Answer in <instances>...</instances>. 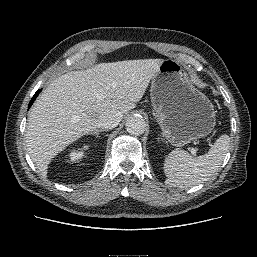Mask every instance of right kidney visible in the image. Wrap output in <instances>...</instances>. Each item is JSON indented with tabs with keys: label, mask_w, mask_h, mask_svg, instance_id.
<instances>
[{
	"label": "right kidney",
	"mask_w": 257,
	"mask_h": 257,
	"mask_svg": "<svg viewBox=\"0 0 257 257\" xmlns=\"http://www.w3.org/2000/svg\"><path fill=\"white\" fill-rule=\"evenodd\" d=\"M89 149V145H84L79 150H72L69 153V158L71 161H76L81 159L84 156V151Z\"/></svg>",
	"instance_id": "1"
}]
</instances>
